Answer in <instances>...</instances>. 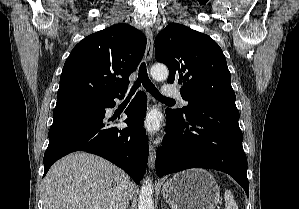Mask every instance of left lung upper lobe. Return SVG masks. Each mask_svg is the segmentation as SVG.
I'll list each match as a JSON object with an SVG mask.
<instances>
[{
  "instance_id": "obj_1",
  "label": "left lung upper lobe",
  "mask_w": 299,
  "mask_h": 209,
  "mask_svg": "<svg viewBox=\"0 0 299 209\" xmlns=\"http://www.w3.org/2000/svg\"><path fill=\"white\" fill-rule=\"evenodd\" d=\"M155 57L167 65L168 82L182 85L180 93L188 101L181 110L167 112L183 116L202 101L235 102L225 56L208 35L171 23L155 38Z\"/></svg>"
}]
</instances>
